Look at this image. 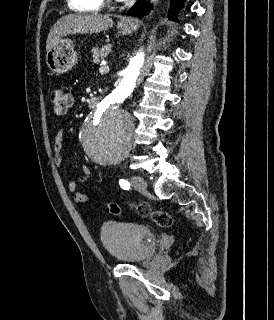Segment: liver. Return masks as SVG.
I'll return each instance as SVG.
<instances>
[{
  "instance_id": "1",
  "label": "liver",
  "mask_w": 274,
  "mask_h": 320,
  "mask_svg": "<svg viewBox=\"0 0 274 320\" xmlns=\"http://www.w3.org/2000/svg\"><path fill=\"white\" fill-rule=\"evenodd\" d=\"M114 26L112 18L102 14H68L57 20L46 40V50L68 34H99Z\"/></svg>"
}]
</instances>
